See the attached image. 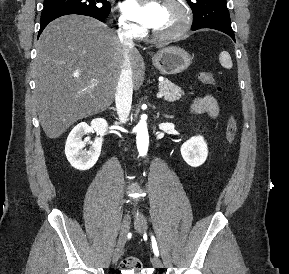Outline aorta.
Listing matches in <instances>:
<instances>
[{"instance_id":"1","label":"aorta","mask_w":289,"mask_h":274,"mask_svg":"<svg viewBox=\"0 0 289 274\" xmlns=\"http://www.w3.org/2000/svg\"><path fill=\"white\" fill-rule=\"evenodd\" d=\"M136 131H137L136 144L138 152L140 156H145L147 154L149 145V135L145 119L142 118L139 121V123L136 126Z\"/></svg>"}]
</instances>
